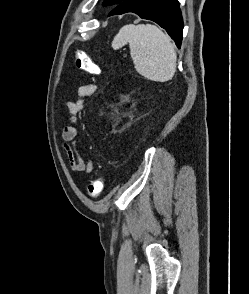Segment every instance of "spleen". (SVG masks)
Wrapping results in <instances>:
<instances>
[{"instance_id": "1", "label": "spleen", "mask_w": 249, "mask_h": 294, "mask_svg": "<svg viewBox=\"0 0 249 294\" xmlns=\"http://www.w3.org/2000/svg\"><path fill=\"white\" fill-rule=\"evenodd\" d=\"M129 44L130 55L137 72L156 82L173 78L177 55L168 35L151 24L125 25L112 41L117 50Z\"/></svg>"}]
</instances>
